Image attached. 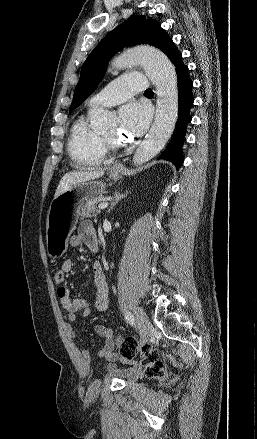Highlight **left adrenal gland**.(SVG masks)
<instances>
[{"instance_id":"1","label":"left adrenal gland","mask_w":257,"mask_h":439,"mask_svg":"<svg viewBox=\"0 0 257 439\" xmlns=\"http://www.w3.org/2000/svg\"><path fill=\"white\" fill-rule=\"evenodd\" d=\"M126 195H127V194H126ZM126 195H125V194H120L119 192H115L113 202L111 203L110 208L108 209L107 213L109 214L110 211L114 208V206H115V205H116L121 199L125 198Z\"/></svg>"}]
</instances>
